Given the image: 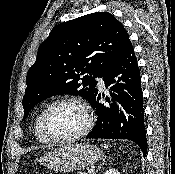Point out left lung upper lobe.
Returning a JSON list of instances; mask_svg holds the SVG:
<instances>
[{
  "label": "left lung upper lobe",
  "instance_id": "1",
  "mask_svg": "<svg viewBox=\"0 0 175 174\" xmlns=\"http://www.w3.org/2000/svg\"><path fill=\"white\" fill-rule=\"evenodd\" d=\"M130 43L124 26L107 12L55 26L28 70L23 120L33 106L51 96L80 95L90 103L98 93L95 78L103 77Z\"/></svg>",
  "mask_w": 175,
  "mask_h": 174
}]
</instances>
